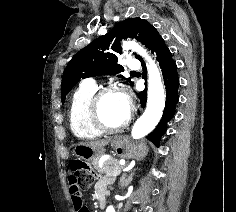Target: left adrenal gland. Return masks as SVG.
Instances as JSON below:
<instances>
[{
	"mask_svg": "<svg viewBox=\"0 0 236 212\" xmlns=\"http://www.w3.org/2000/svg\"><path fill=\"white\" fill-rule=\"evenodd\" d=\"M134 175V172L131 173L127 178H126V174H123L121 177H120V180H119V184L122 188L126 187L132 180V177Z\"/></svg>",
	"mask_w": 236,
	"mask_h": 212,
	"instance_id": "1",
	"label": "left adrenal gland"
}]
</instances>
